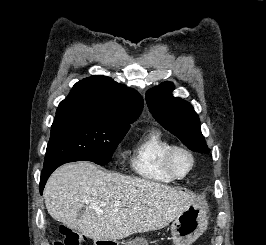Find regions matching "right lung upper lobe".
<instances>
[{"instance_id": "right-lung-upper-lobe-1", "label": "right lung upper lobe", "mask_w": 266, "mask_h": 245, "mask_svg": "<svg viewBox=\"0 0 266 245\" xmlns=\"http://www.w3.org/2000/svg\"><path fill=\"white\" fill-rule=\"evenodd\" d=\"M141 95L112 78L103 75L91 76L77 82L68 97L61 101L56 116L89 112L110 119L132 123L143 109Z\"/></svg>"}]
</instances>
